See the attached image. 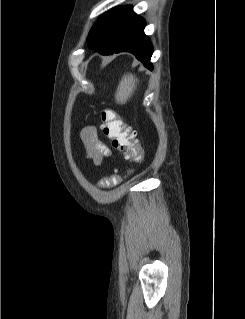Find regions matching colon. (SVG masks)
Wrapping results in <instances>:
<instances>
[{
    "instance_id": "colon-1",
    "label": "colon",
    "mask_w": 245,
    "mask_h": 319,
    "mask_svg": "<svg viewBox=\"0 0 245 319\" xmlns=\"http://www.w3.org/2000/svg\"><path fill=\"white\" fill-rule=\"evenodd\" d=\"M101 129L106 138L110 139L112 147L124 153L129 161L140 162L143 158V148L136 141L135 133L127 122L113 110L107 109L101 113ZM120 180L116 172L110 178L103 181V184L114 185Z\"/></svg>"
}]
</instances>
